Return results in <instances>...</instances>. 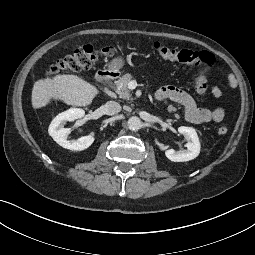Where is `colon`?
Listing matches in <instances>:
<instances>
[{"label": "colon", "instance_id": "5ec220e1", "mask_svg": "<svg viewBox=\"0 0 255 255\" xmlns=\"http://www.w3.org/2000/svg\"><path fill=\"white\" fill-rule=\"evenodd\" d=\"M153 48L164 60L190 64L197 67L195 78V89L201 96H206L208 91L207 74L213 66L215 58L208 51H192L188 49H174L160 42H154ZM122 51L121 47L107 44L83 45L77 48L71 55L60 59L54 64L49 73L51 75L59 73H70L90 68L100 58H109ZM228 132L226 126H220L218 133L225 135Z\"/></svg>", "mask_w": 255, "mask_h": 255}]
</instances>
